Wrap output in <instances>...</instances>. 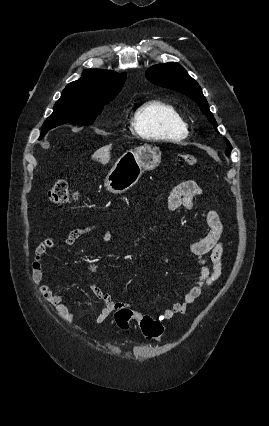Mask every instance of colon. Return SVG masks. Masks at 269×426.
I'll list each match as a JSON object with an SVG mask.
<instances>
[{
    "label": "colon",
    "mask_w": 269,
    "mask_h": 426,
    "mask_svg": "<svg viewBox=\"0 0 269 426\" xmlns=\"http://www.w3.org/2000/svg\"><path fill=\"white\" fill-rule=\"evenodd\" d=\"M181 160L188 166H196L197 158L192 154H182ZM51 202L57 205H62L75 199L76 194L70 189L65 180L56 181L50 188L48 193ZM134 313L131 309L122 306L115 312V322L121 329H127L132 320ZM140 329L143 335L150 340H160L163 335V325L158 320L153 319L148 315H143L139 321Z\"/></svg>",
    "instance_id": "colon-1"
}]
</instances>
